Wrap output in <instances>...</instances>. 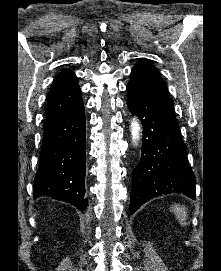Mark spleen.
<instances>
[{
    "mask_svg": "<svg viewBox=\"0 0 221 271\" xmlns=\"http://www.w3.org/2000/svg\"><path fill=\"white\" fill-rule=\"evenodd\" d=\"M171 211H173L175 217H177L181 225H188V213L187 207H185V205H180V203H177V205H174V207H172Z\"/></svg>",
    "mask_w": 221,
    "mask_h": 271,
    "instance_id": "obj_1",
    "label": "spleen"
}]
</instances>
